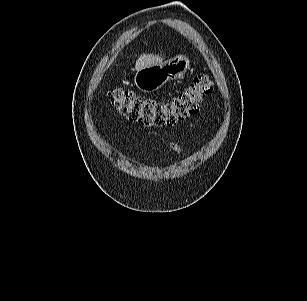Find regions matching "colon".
<instances>
[{"label": "colon", "instance_id": "1", "mask_svg": "<svg viewBox=\"0 0 307 301\" xmlns=\"http://www.w3.org/2000/svg\"><path fill=\"white\" fill-rule=\"evenodd\" d=\"M213 90L206 75H199L176 96L168 100L144 98L125 90L110 92L111 104L129 120L145 126L169 127L198 112L203 97Z\"/></svg>", "mask_w": 307, "mask_h": 301}]
</instances>
